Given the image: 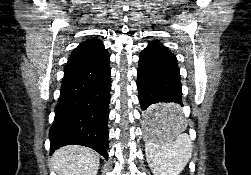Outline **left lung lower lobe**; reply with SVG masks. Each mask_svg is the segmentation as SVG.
Segmentation results:
<instances>
[{
  "label": "left lung lower lobe",
  "instance_id": "obj_1",
  "mask_svg": "<svg viewBox=\"0 0 251 175\" xmlns=\"http://www.w3.org/2000/svg\"><path fill=\"white\" fill-rule=\"evenodd\" d=\"M137 75L139 101L144 111L142 120L147 124H163L178 119L181 115L178 105L183 103L176 56L158 41H151L141 52Z\"/></svg>",
  "mask_w": 251,
  "mask_h": 175
}]
</instances>
